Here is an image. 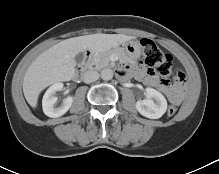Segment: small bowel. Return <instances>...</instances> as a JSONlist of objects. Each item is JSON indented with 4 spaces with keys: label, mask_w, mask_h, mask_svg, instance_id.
Masks as SVG:
<instances>
[{
    "label": "small bowel",
    "mask_w": 219,
    "mask_h": 174,
    "mask_svg": "<svg viewBox=\"0 0 219 174\" xmlns=\"http://www.w3.org/2000/svg\"><path fill=\"white\" fill-rule=\"evenodd\" d=\"M130 72L138 79L143 80L146 84L160 88L168 96L172 103L180 104L185 97L186 86L180 83L170 84L158 79L154 74L147 73L143 68H134Z\"/></svg>",
    "instance_id": "1"
}]
</instances>
